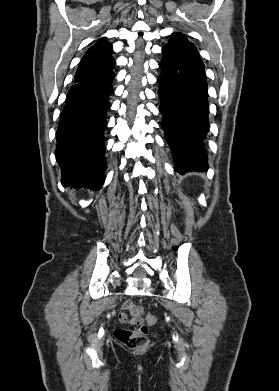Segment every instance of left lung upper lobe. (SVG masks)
Wrapping results in <instances>:
<instances>
[{"label": "left lung upper lobe", "instance_id": "obj_1", "mask_svg": "<svg viewBox=\"0 0 279 391\" xmlns=\"http://www.w3.org/2000/svg\"><path fill=\"white\" fill-rule=\"evenodd\" d=\"M164 47L170 48V49H173V50H176L179 52H183V53L187 54L188 56H190L191 58H194L195 60H197L198 62L203 64V62L200 59L199 53H198L196 47L194 46V44L190 43L187 40L186 36L181 33H177V32L173 33L170 38L169 44H167Z\"/></svg>", "mask_w": 279, "mask_h": 391}]
</instances>
